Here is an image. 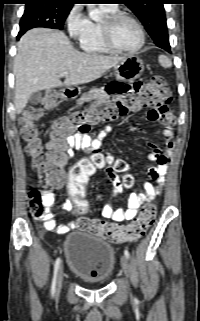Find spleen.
<instances>
[{"instance_id":"3e777b00","label":"spleen","mask_w":200,"mask_h":321,"mask_svg":"<svg viewBox=\"0 0 200 321\" xmlns=\"http://www.w3.org/2000/svg\"><path fill=\"white\" fill-rule=\"evenodd\" d=\"M158 60H159L160 65H161L163 68H170V67H172V62H171V60H170L167 56H165V55H160L159 58H158Z\"/></svg>"}]
</instances>
